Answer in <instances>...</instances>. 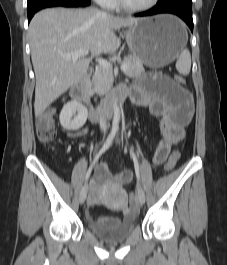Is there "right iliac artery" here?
<instances>
[{"mask_svg": "<svg viewBox=\"0 0 227 265\" xmlns=\"http://www.w3.org/2000/svg\"><path fill=\"white\" fill-rule=\"evenodd\" d=\"M118 131V123L117 122H114L113 125H112V129H111V132L109 134V136L107 137L105 143L103 144L102 148L100 149V151L96 154L94 160H93V163L91 165V167L89 168L88 172L86 173V176H85V180L84 182L86 183L89 176H90V173H91V170H92V167L93 165L98 161L99 157L107 150L109 149V147L111 146L114 138H115V135Z\"/></svg>", "mask_w": 227, "mask_h": 265, "instance_id": "obj_1", "label": "right iliac artery"}]
</instances>
